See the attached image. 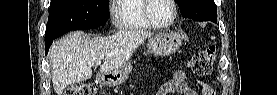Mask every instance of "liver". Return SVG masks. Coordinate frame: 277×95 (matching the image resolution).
Returning <instances> with one entry per match:
<instances>
[{
    "label": "liver",
    "instance_id": "1",
    "mask_svg": "<svg viewBox=\"0 0 277 95\" xmlns=\"http://www.w3.org/2000/svg\"><path fill=\"white\" fill-rule=\"evenodd\" d=\"M151 36L152 33L140 30H125L92 39L81 31L68 34L50 48L54 91L62 95L68 85L90 79L92 67L97 63H100L102 74L120 68Z\"/></svg>",
    "mask_w": 277,
    "mask_h": 95
}]
</instances>
